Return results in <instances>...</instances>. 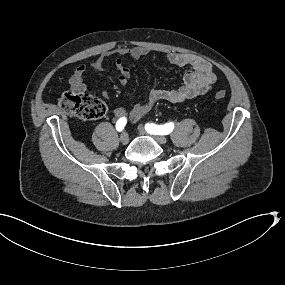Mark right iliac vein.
<instances>
[{
	"label": "right iliac vein",
	"mask_w": 285,
	"mask_h": 285,
	"mask_svg": "<svg viewBox=\"0 0 285 285\" xmlns=\"http://www.w3.org/2000/svg\"><path fill=\"white\" fill-rule=\"evenodd\" d=\"M120 142L123 144V145H126L129 143V135L127 132H123L120 136Z\"/></svg>",
	"instance_id": "obj_1"
}]
</instances>
